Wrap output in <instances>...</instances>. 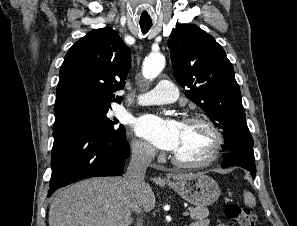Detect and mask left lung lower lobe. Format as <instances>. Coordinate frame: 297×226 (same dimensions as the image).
<instances>
[{
	"label": "left lung lower lobe",
	"instance_id": "1",
	"mask_svg": "<svg viewBox=\"0 0 297 226\" xmlns=\"http://www.w3.org/2000/svg\"><path fill=\"white\" fill-rule=\"evenodd\" d=\"M239 166L248 170L252 178L256 176V166L253 150L243 152H226L225 159L221 167Z\"/></svg>",
	"mask_w": 297,
	"mask_h": 226
}]
</instances>
